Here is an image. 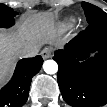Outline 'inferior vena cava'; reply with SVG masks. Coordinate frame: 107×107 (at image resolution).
Returning <instances> with one entry per match:
<instances>
[{"instance_id":"1","label":"inferior vena cava","mask_w":107,"mask_h":107,"mask_svg":"<svg viewBox=\"0 0 107 107\" xmlns=\"http://www.w3.org/2000/svg\"><path fill=\"white\" fill-rule=\"evenodd\" d=\"M39 52V47H25L19 50V55L21 57H34L38 54Z\"/></svg>"}]
</instances>
